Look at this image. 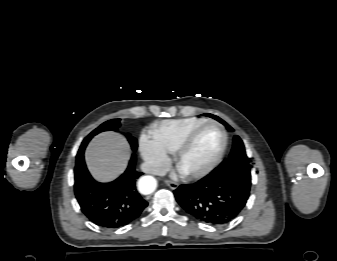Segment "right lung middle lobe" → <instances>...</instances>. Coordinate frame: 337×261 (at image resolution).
<instances>
[{"label":"right lung middle lobe","mask_w":337,"mask_h":261,"mask_svg":"<svg viewBox=\"0 0 337 261\" xmlns=\"http://www.w3.org/2000/svg\"><path fill=\"white\" fill-rule=\"evenodd\" d=\"M119 127H120V119H113V120L106 121L105 123L101 124L98 128H96L94 131H92L83 140L79 150H84L88 142L92 139V137L97 135L98 133L103 132V131H108V130L117 131ZM127 138L131 144L132 150L135 151L137 149L136 139L131 137L129 134L127 135Z\"/></svg>","instance_id":"right-lung-middle-lobe-1"}]
</instances>
